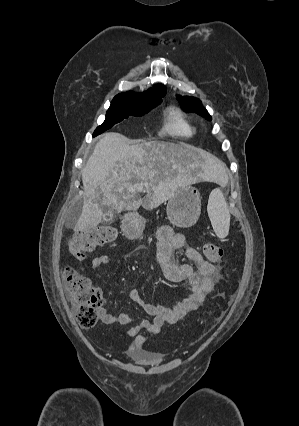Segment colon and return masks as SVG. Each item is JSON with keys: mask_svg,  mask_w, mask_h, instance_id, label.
I'll list each match as a JSON object with an SVG mask.
<instances>
[{"mask_svg": "<svg viewBox=\"0 0 299 426\" xmlns=\"http://www.w3.org/2000/svg\"><path fill=\"white\" fill-rule=\"evenodd\" d=\"M116 236V230L110 226L77 231L69 243L70 254L80 260L86 253L113 241ZM203 252L212 262L221 261L224 255L222 247L212 242L204 245ZM64 285L77 322L82 328H92L104 303L101 291L92 286L88 278L72 268H67L64 272Z\"/></svg>", "mask_w": 299, "mask_h": 426, "instance_id": "colon-1", "label": "colon"}]
</instances>
